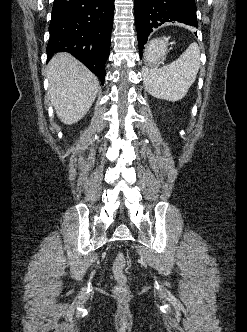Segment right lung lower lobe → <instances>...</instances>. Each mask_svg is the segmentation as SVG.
<instances>
[{
  "label": "right lung lower lobe",
  "mask_w": 247,
  "mask_h": 332,
  "mask_svg": "<svg viewBox=\"0 0 247 332\" xmlns=\"http://www.w3.org/2000/svg\"><path fill=\"white\" fill-rule=\"evenodd\" d=\"M113 13L114 0H54L46 48L48 60L54 53L68 51L103 85Z\"/></svg>",
  "instance_id": "obj_1"
}]
</instances>
